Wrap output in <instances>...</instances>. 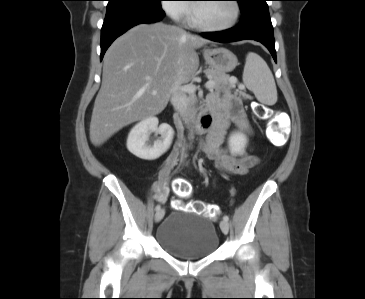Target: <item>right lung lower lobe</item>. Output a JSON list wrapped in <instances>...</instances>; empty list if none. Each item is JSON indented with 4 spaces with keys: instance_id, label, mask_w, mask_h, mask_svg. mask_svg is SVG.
I'll use <instances>...</instances> for the list:
<instances>
[{
    "instance_id": "obj_1",
    "label": "right lung lower lobe",
    "mask_w": 365,
    "mask_h": 299,
    "mask_svg": "<svg viewBox=\"0 0 365 299\" xmlns=\"http://www.w3.org/2000/svg\"><path fill=\"white\" fill-rule=\"evenodd\" d=\"M165 16L161 6L130 5L106 12L101 29V55L112 42L128 29L141 23H154Z\"/></svg>"
}]
</instances>
